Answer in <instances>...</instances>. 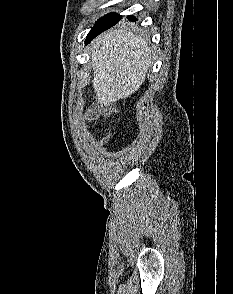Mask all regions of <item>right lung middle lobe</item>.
I'll return each instance as SVG.
<instances>
[{"mask_svg":"<svg viewBox=\"0 0 233 294\" xmlns=\"http://www.w3.org/2000/svg\"><path fill=\"white\" fill-rule=\"evenodd\" d=\"M120 18H121V16L118 14H115V13L108 14V15L104 16L103 18H101L100 20H98L94 27L101 25V24H104V23H110V22L116 23L120 20Z\"/></svg>","mask_w":233,"mask_h":294,"instance_id":"obj_1","label":"right lung middle lobe"}]
</instances>
